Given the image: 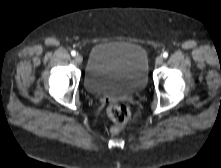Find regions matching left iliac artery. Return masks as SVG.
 <instances>
[{
    "mask_svg": "<svg viewBox=\"0 0 221 168\" xmlns=\"http://www.w3.org/2000/svg\"><path fill=\"white\" fill-rule=\"evenodd\" d=\"M163 57H164V58H167V57H168V53H167V52H164V53H163Z\"/></svg>",
    "mask_w": 221,
    "mask_h": 168,
    "instance_id": "obj_1",
    "label": "left iliac artery"
}]
</instances>
